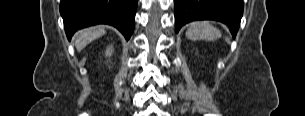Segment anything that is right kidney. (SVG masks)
I'll return each mask as SVG.
<instances>
[{
	"mask_svg": "<svg viewBox=\"0 0 305 116\" xmlns=\"http://www.w3.org/2000/svg\"><path fill=\"white\" fill-rule=\"evenodd\" d=\"M112 54V46H109L106 50V56H111Z\"/></svg>",
	"mask_w": 305,
	"mask_h": 116,
	"instance_id": "ca27d5eb",
	"label": "right kidney"
}]
</instances>
